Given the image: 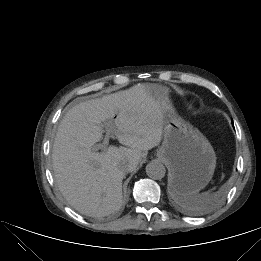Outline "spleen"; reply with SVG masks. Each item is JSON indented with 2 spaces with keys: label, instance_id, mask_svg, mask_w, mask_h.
<instances>
[{
  "label": "spleen",
  "instance_id": "obj_1",
  "mask_svg": "<svg viewBox=\"0 0 261 261\" xmlns=\"http://www.w3.org/2000/svg\"><path fill=\"white\" fill-rule=\"evenodd\" d=\"M208 192L202 194H184L177 196V199L182 204L190 208H198L202 203V200L208 195Z\"/></svg>",
  "mask_w": 261,
  "mask_h": 261
}]
</instances>
